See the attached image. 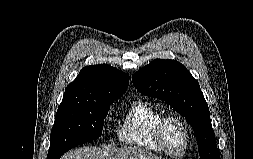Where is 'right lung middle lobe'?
<instances>
[{
  "label": "right lung middle lobe",
  "instance_id": "obj_1",
  "mask_svg": "<svg viewBox=\"0 0 253 159\" xmlns=\"http://www.w3.org/2000/svg\"><path fill=\"white\" fill-rule=\"evenodd\" d=\"M119 98H76L62 100L50 135L47 159H59L79 144L102 134L110 105Z\"/></svg>",
  "mask_w": 253,
  "mask_h": 159
}]
</instances>
